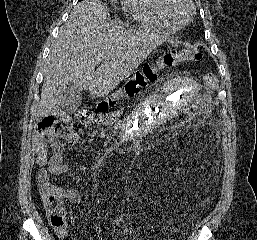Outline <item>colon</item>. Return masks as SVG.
<instances>
[{"instance_id":"1","label":"colon","mask_w":257,"mask_h":240,"mask_svg":"<svg viewBox=\"0 0 257 240\" xmlns=\"http://www.w3.org/2000/svg\"><path fill=\"white\" fill-rule=\"evenodd\" d=\"M201 58L199 47H194L185 51H168L164 53L157 61L145 65L140 71L128 78L120 90L103 98L98 103L99 109H106L113 105L117 100L126 96H133L149 83L154 82L158 74L164 70L175 66L183 61H194ZM218 79L213 74H207L205 77V87L209 91H214L218 88ZM79 117L83 121H93L97 116L92 113L87 107L79 111ZM63 124L56 122L51 117L43 118L39 124L40 132L60 131ZM42 200L47 211V216L50 224L55 229L65 228L66 210L64 207L65 196L60 190H50L42 193Z\"/></svg>"}]
</instances>
